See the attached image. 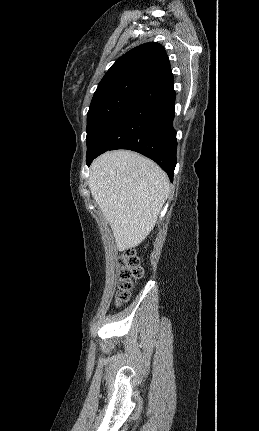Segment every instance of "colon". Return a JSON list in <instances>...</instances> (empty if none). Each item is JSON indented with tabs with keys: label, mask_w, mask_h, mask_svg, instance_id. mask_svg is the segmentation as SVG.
I'll return each mask as SVG.
<instances>
[{
	"label": "colon",
	"mask_w": 259,
	"mask_h": 431,
	"mask_svg": "<svg viewBox=\"0 0 259 431\" xmlns=\"http://www.w3.org/2000/svg\"><path fill=\"white\" fill-rule=\"evenodd\" d=\"M143 276L140 261L133 250H127L119 261V282L116 292V304L128 301L135 282Z\"/></svg>",
	"instance_id": "obj_1"
}]
</instances>
